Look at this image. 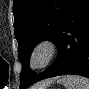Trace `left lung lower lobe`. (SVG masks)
<instances>
[{
  "label": "left lung lower lobe",
  "mask_w": 89,
  "mask_h": 89,
  "mask_svg": "<svg viewBox=\"0 0 89 89\" xmlns=\"http://www.w3.org/2000/svg\"><path fill=\"white\" fill-rule=\"evenodd\" d=\"M54 43L59 49L57 59L31 84L65 74L89 78V0H71Z\"/></svg>",
  "instance_id": "left-lung-lower-lobe-1"
}]
</instances>
